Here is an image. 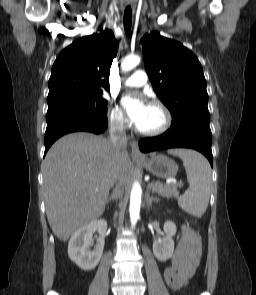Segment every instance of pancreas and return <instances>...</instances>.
<instances>
[{"mask_svg": "<svg viewBox=\"0 0 256 295\" xmlns=\"http://www.w3.org/2000/svg\"><path fill=\"white\" fill-rule=\"evenodd\" d=\"M148 188L152 189L154 193L161 195L165 198L172 199L179 197V191L177 190L176 185H165L162 182H151L148 185Z\"/></svg>", "mask_w": 256, "mask_h": 295, "instance_id": "obj_1", "label": "pancreas"}]
</instances>
